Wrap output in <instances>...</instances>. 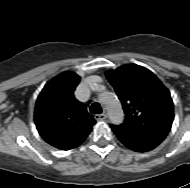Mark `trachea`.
<instances>
[{
  "instance_id": "trachea-1",
  "label": "trachea",
  "mask_w": 190,
  "mask_h": 188,
  "mask_svg": "<svg viewBox=\"0 0 190 188\" xmlns=\"http://www.w3.org/2000/svg\"><path fill=\"white\" fill-rule=\"evenodd\" d=\"M90 112L95 113V114H101L102 108H101L100 104L97 102H94L90 107Z\"/></svg>"
}]
</instances>
